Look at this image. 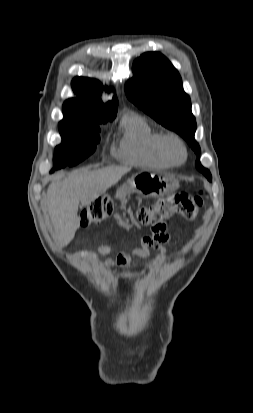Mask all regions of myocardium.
<instances>
[{
    "label": "myocardium",
    "instance_id": "obj_1",
    "mask_svg": "<svg viewBox=\"0 0 253 413\" xmlns=\"http://www.w3.org/2000/svg\"><path fill=\"white\" fill-rule=\"evenodd\" d=\"M162 145L165 154L174 164H182L187 159V148L183 140L174 133L163 135Z\"/></svg>",
    "mask_w": 253,
    "mask_h": 413
}]
</instances>
